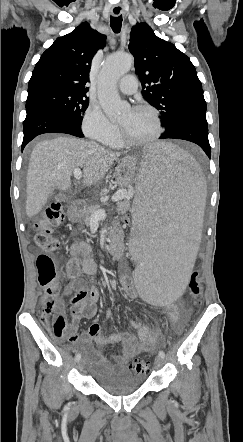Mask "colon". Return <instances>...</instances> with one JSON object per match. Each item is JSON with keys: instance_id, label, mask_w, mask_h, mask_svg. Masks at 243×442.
<instances>
[{"instance_id": "5ec220e1", "label": "colon", "mask_w": 243, "mask_h": 442, "mask_svg": "<svg viewBox=\"0 0 243 442\" xmlns=\"http://www.w3.org/2000/svg\"><path fill=\"white\" fill-rule=\"evenodd\" d=\"M119 220L126 229L131 227L130 213H120ZM63 221L64 211L61 204L52 200L45 209L44 217L34 225V242L45 253L37 259L38 281L44 289L41 318L46 325L52 326L54 334L58 338L69 336L68 323L64 313H56V301L59 293L57 271L54 261L47 254L54 252L59 247V241L53 236L52 228L59 226ZM201 272V267H194L188 280L189 295L195 304L203 298ZM130 368L134 373L145 375L151 371L152 365L150 361L142 357H133Z\"/></svg>"}]
</instances>
